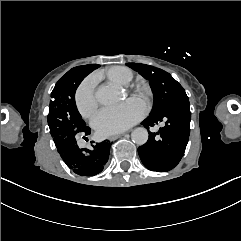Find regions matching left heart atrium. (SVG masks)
Masks as SVG:
<instances>
[{
    "instance_id": "left-heart-atrium-1",
    "label": "left heart atrium",
    "mask_w": 241,
    "mask_h": 241,
    "mask_svg": "<svg viewBox=\"0 0 241 241\" xmlns=\"http://www.w3.org/2000/svg\"><path fill=\"white\" fill-rule=\"evenodd\" d=\"M144 116V109L127 111L123 108H103L91 119L92 126L102 135L120 134L130 129Z\"/></svg>"
}]
</instances>
